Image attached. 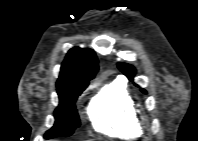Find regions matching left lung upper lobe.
Returning a JSON list of instances; mask_svg holds the SVG:
<instances>
[{
    "label": "left lung upper lobe",
    "instance_id": "left-lung-upper-lobe-1",
    "mask_svg": "<svg viewBox=\"0 0 198 141\" xmlns=\"http://www.w3.org/2000/svg\"><path fill=\"white\" fill-rule=\"evenodd\" d=\"M118 68L128 77L129 80L133 81L134 75L136 73V70L133 66L126 63H118ZM141 91L146 94V91L143 88H141Z\"/></svg>",
    "mask_w": 198,
    "mask_h": 141
}]
</instances>
